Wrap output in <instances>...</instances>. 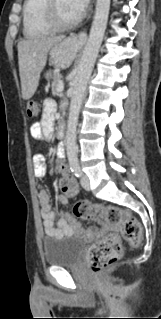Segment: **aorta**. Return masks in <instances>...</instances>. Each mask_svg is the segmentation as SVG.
<instances>
[{"instance_id":"1","label":"aorta","mask_w":161,"mask_h":319,"mask_svg":"<svg viewBox=\"0 0 161 319\" xmlns=\"http://www.w3.org/2000/svg\"><path fill=\"white\" fill-rule=\"evenodd\" d=\"M109 7L110 0H97L90 36L83 50L77 74L73 80V95L70 102L66 132L67 157L71 166H75L78 163L76 145L78 118L83 97L86 91V86L92 74V70L104 37Z\"/></svg>"}]
</instances>
